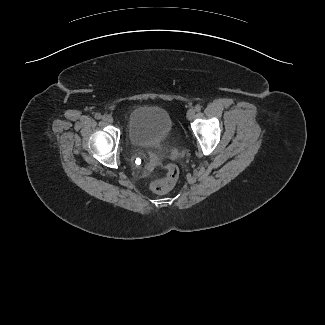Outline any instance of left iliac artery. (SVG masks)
Instances as JSON below:
<instances>
[{"instance_id": "1", "label": "left iliac artery", "mask_w": 325, "mask_h": 325, "mask_svg": "<svg viewBox=\"0 0 325 325\" xmlns=\"http://www.w3.org/2000/svg\"><path fill=\"white\" fill-rule=\"evenodd\" d=\"M201 108H202V106H201L200 104H197V105L195 106V110H196L197 112H199V111L201 110Z\"/></svg>"}]
</instances>
